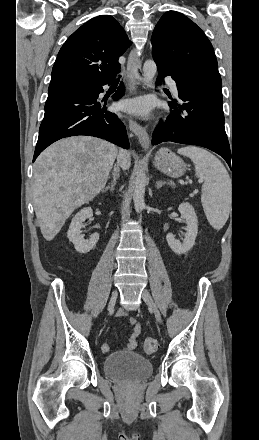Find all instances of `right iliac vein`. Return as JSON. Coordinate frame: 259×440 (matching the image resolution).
<instances>
[{"instance_id":"obj_1","label":"right iliac vein","mask_w":259,"mask_h":440,"mask_svg":"<svg viewBox=\"0 0 259 440\" xmlns=\"http://www.w3.org/2000/svg\"><path fill=\"white\" fill-rule=\"evenodd\" d=\"M117 296H118L117 291H114V292L112 293V296H111V298H110V300H109V303H108V307H107V310H108V311L113 310V308H114V306H115V303H116Z\"/></svg>"}]
</instances>
